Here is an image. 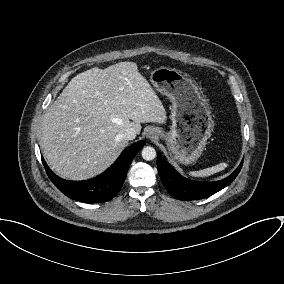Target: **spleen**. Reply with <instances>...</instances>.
<instances>
[{"label":"spleen","mask_w":284,"mask_h":284,"mask_svg":"<svg viewBox=\"0 0 284 284\" xmlns=\"http://www.w3.org/2000/svg\"><path fill=\"white\" fill-rule=\"evenodd\" d=\"M227 166H228V163L223 162V163L217 164L215 166H212V167H209L203 170L190 171L189 175L193 177H207V176L213 175L217 172L224 170Z\"/></svg>","instance_id":"1"}]
</instances>
